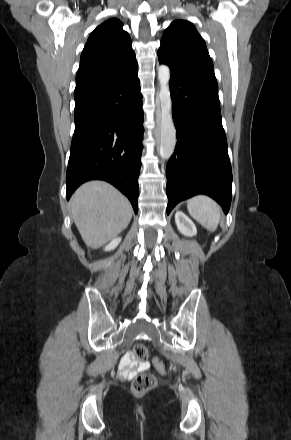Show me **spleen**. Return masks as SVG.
I'll use <instances>...</instances> for the list:
<instances>
[{
    "instance_id": "3e777b00",
    "label": "spleen",
    "mask_w": 291,
    "mask_h": 440,
    "mask_svg": "<svg viewBox=\"0 0 291 440\" xmlns=\"http://www.w3.org/2000/svg\"><path fill=\"white\" fill-rule=\"evenodd\" d=\"M190 215L207 230L214 232L220 219V207L210 197L197 195L187 203Z\"/></svg>"
}]
</instances>
